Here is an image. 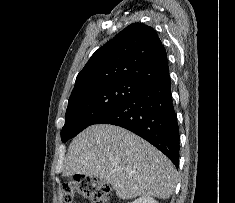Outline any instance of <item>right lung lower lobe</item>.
<instances>
[{
	"label": "right lung lower lobe",
	"instance_id": "obj_1",
	"mask_svg": "<svg viewBox=\"0 0 235 203\" xmlns=\"http://www.w3.org/2000/svg\"><path fill=\"white\" fill-rule=\"evenodd\" d=\"M101 123L117 125L139 135L163 152L178 168L179 127L169 73L145 84L94 124Z\"/></svg>",
	"mask_w": 235,
	"mask_h": 203
}]
</instances>
